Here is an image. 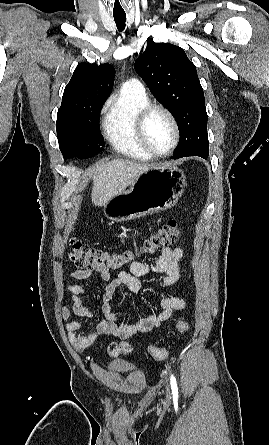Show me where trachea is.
Listing matches in <instances>:
<instances>
[{
  "mask_svg": "<svg viewBox=\"0 0 269 445\" xmlns=\"http://www.w3.org/2000/svg\"><path fill=\"white\" fill-rule=\"evenodd\" d=\"M114 20L119 31H123L125 29L126 15H116L114 16Z\"/></svg>",
  "mask_w": 269,
  "mask_h": 445,
  "instance_id": "trachea-1",
  "label": "trachea"
}]
</instances>
